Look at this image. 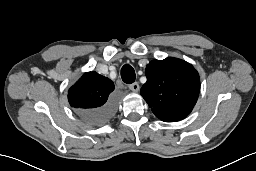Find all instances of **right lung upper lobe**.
I'll return each mask as SVG.
<instances>
[{
	"label": "right lung upper lobe",
	"instance_id": "right-lung-upper-lobe-1",
	"mask_svg": "<svg viewBox=\"0 0 256 171\" xmlns=\"http://www.w3.org/2000/svg\"><path fill=\"white\" fill-rule=\"evenodd\" d=\"M114 83L96 72H86L69 89L68 100L83 117L86 113L99 109L112 99Z\"/></svg>",
	"mask_w": 256,
	"mask_h": 171
}]
</instances>
